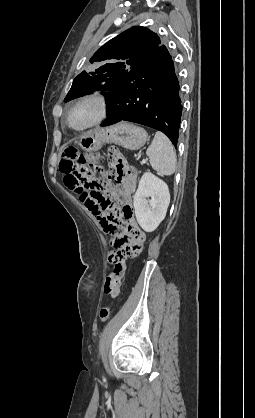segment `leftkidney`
<instances>
[{
	"mask_svg": "<svg viewBox=\"0 0 255 418\" xmlns=\"http://www.w3.org/2000/svg\"><path fill=\"white\" fill-rule=\"evenodd\" d=\"M151 197L150 200L147 198ZM136 219L146 232H153L164 220L170 203L168 185L150 172L141 177L134 195Z\"/></svg>",
	"mask_w": 255,
	"mask_h": 418,
	"instance_id": "5707ae66",
	"label": "left kidney"
}]
</instances>
